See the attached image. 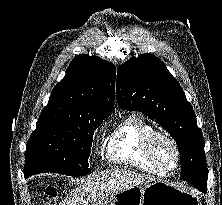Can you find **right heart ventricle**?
I'll list each match as a JSON object with an SVG mask.
<instances>
[{"mask_svg": "<svg viewBox=\"0 0 222 205\" xmlns=\"http://www.w3.org/2000/svg\"><path fill=\"white\" fill-rule=\"evenodd\" d=\"M152 131L153 128L141 118L137 116L129 117L115 130L110 139L109 159L153 175H164V172L150 162L145 152V138Z\"/></svg>", "mask_w": 222, "mask_h": 205, "instance_id": "e07e8e85", "label": "right heart ventricle"}]
</instances>
